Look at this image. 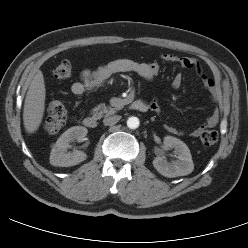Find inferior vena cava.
I'll use <instances>...</instances> for the list:
<instances>
[{
  "mask_svg": "<svg viewBox=\"0 0 248 248\" xmlns=\"http://www.w3.org/2000/svg\"><path fill=\"white\" fill-rule=\"evenodd\" d=\"M121 119L119 115L108 116L104 118L103 123L105 126H111L116 124Z\"/></svg>",
  "mask_w": 248,
  "mask_h": 248,
  "instance_id": "602c4592",
  "label": "inferior vena cava"
}]
</instances>
